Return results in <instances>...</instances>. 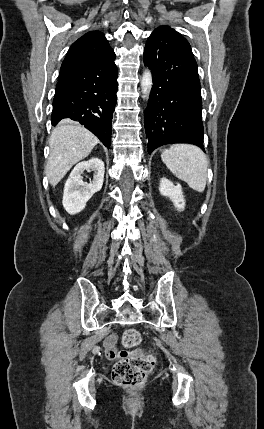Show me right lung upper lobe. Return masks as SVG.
Here are the masks:
<instances>
[{"label":"right lung upper lobe","mask_w":264,"mask_h":429,"mask_svg":"<svg viewBox=\"0 0 264 429\" xmlns=\"http://www.w3.org/2000/svg\"><path fill=\"white\" fill-rule=\"evenodd\" d=\"M111 50L104 34L90 31L75 41L61 65L60 76L74 71Z\"/></svg>","instance_id":"right-lung-upper-lobe-1"}]
</instances>
